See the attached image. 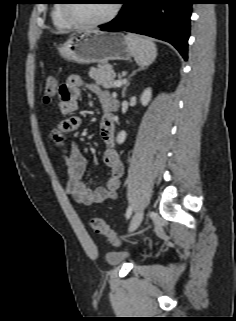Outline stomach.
<instances>
[{"mask_svg":"<svg viewBox=\"0 0 236 321\" xmlns=\"http://www.w3.org/2000/svg\"><path fill=\"white\" fill-rule=\"evenodd\" d=\"M58 50L61 57L79 64L129 60L133 55L126 37L116 32H78L71 35Z\"/></svg>","mask_w":236,"mask_h":321,"instance_id":"0dacf381","label":"stomach"}]
</instances>
